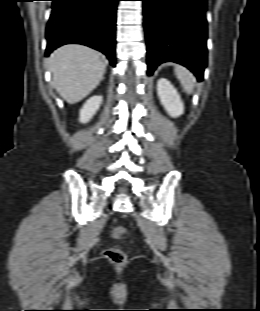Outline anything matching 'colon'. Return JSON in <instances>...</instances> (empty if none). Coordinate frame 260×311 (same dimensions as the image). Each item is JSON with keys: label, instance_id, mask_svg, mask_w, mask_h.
Returning a JSON list of instances; mask_svg holds the SVG:
<instances>
[{"label": "colon", "instance_id": "colon-1", "mask_svg": "<svg viewBox=\"0 0 260 311\" xmlns=\"http://www.w3.org/2000/svg\"><path fill=\"white\" fill-rule=\"evenodd\" d=\"M113 234L116 238H121L126 234V229L122 226L114 228ZM104 256L111 263L116 265H122L126 261V254L119 248H107L104 250Z\"/></svg>", "mask_w": 260, "mask_h": 311}]
</instances>
